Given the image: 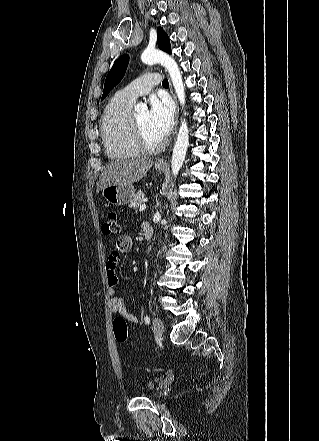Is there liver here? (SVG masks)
<instances>
[{
  "label": "liver",
  "mask_w": 319,
  "mask_h": 441,
  "mask_svg": "<svg viewBox=\"0 0 319 441\" xmlns=\"http://www.w3.org/2000/svg\"><path fill=\"white\" fill-rule=\"evenodd\" d=\"M151 158L118 159L111 161L102 172L97 192L113 184H132L141 180L153 166Z\"/></svg>",
  "instance_id": "6515ba94"
}]
</instances>
